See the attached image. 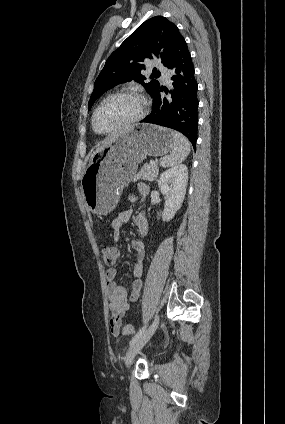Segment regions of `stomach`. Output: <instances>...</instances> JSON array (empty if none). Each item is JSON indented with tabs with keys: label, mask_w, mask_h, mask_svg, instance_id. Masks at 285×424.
<instances>
[{
	"label": "stomach",
	"mask_w": 285,
	"mask_h": 424,
	"mask_svg": "<svg viewBox=\"0 0 285 424\" xmlns=\"http://www.w3.org/2000/svg\"><path fill=\"white\" fill-rule=\"evenodd\" d=\"M173 131L140 124L95 153L81 179L89 210L107 215L116 207L122 190L135 178L138 165L147 156H163L173 149Z\"/></svg>",
	"instance_id": "stomach-1"
}]
</instances>
